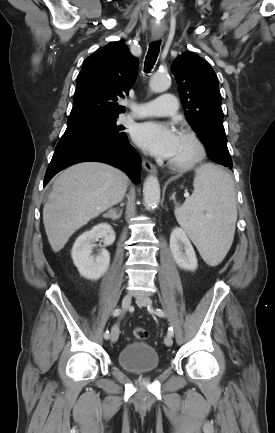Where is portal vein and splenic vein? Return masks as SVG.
Here are the masks:
<instances>
[{"instance_id": "18ae733b", "label": "portal vein and splenic vein", "mask_w": 275, "mask_h": 433, "mask_svg": "<svg viewBox=\"0 0 275 433\" xmlns=\"http://www.w3.org/2000/svg\"><path fill=\"white\" fill-rule=\"evenodd\" d=\"M184 196H185V197H188V196H189V193H188V192H186V193L184 194Z\"/></svg>"}]
</instances>
